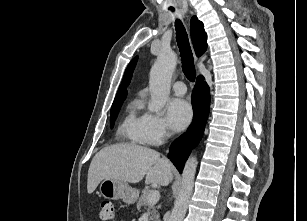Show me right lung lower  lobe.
I'll list each match as a JSON object with an SVG mask.
<instances>
[{
	"instance_id": "1",
	"label": "right lung lower lobe",
	"mask_w": 307,
	"mask_h": 221,
	"mask_svg": "<svg viewBox=\"0 0 307 221\" xmlns=\"http://www.w3.org/2000/svg\"><path fill=\"white\" fill-rule=\"evenodd\" d=\"M210 94L208 85L198 77L192 94L193 123L188 131L170 147L169 158L181 173L186 159L202 138L209 114Z\"/></svg>"
}]
</instances>
